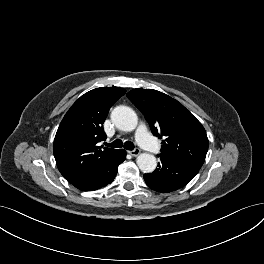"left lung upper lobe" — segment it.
Here are the masks:
<instances>
[{
  "label": "left lung upper lobe",
  "mask_w": 264,
  "mask_h": 264,
  "mask_svg": "<svg viewBox=\"0 0 264 264\" xmlns=\"http://www.w3.org/2000/svg\"><path fill=\"white\" fill-rule=\"evenodd\" d=\"M127 97L143 113L152 133L162 139L160 155L201 168L208 138L202 124L181 103L153 89H133Z\"/></svg>",
  "instance_id": "obj_1"
}]
</instances>
